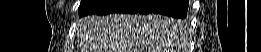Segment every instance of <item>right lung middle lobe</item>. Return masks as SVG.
<instances>
[{
  "label": "right lung middle lobe",
  "instance_id": "dd1d6c3e",
  "mask_svg": "<svg viewBox=\"0 0 261 52\" xmlns=\"http://www.w3.org/2000/svg\"><path fill=\"white\" fill-rule=\"evenodd\" d=\"M105 0H82L81 4L79 6V16H84L88 12L92 11L96 7L100 6L103 4ZM167 20L173 24L177 25H185L186 20L185 19H177V18H172V17H167Z\"/></svg>",
  "mask_w": 261,
  "mask_h": 52
}]
</instances>
